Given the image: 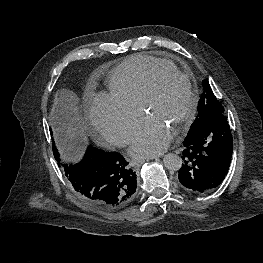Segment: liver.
I'll return each instance as SVG.
<instances>
[{"label":"liver","instance_id":"1","mask_svg":"<svg viewBox=\"0 0 263 263\" xmlns=\"http://www.w3.org/2000/svg\"><path fill=\"white\" fill-rule=\"evenodd\" d=\"M79 99L74 92L61 90L56 93L54 99V113L63 120L74 121L76 119ZM65 135L73 139L78 135V130L72 124L64 126Z\"/></svg>","mask_w":263,"mask_h":263}]
</instances>
